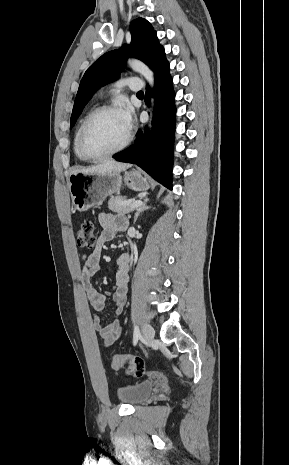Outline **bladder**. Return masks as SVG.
Here are the masks:
<instances>
[{
	"label": "bladder",
	"mask_w": 289,
	"mask_h": 465,
	"mask_svg": "<svg viewBox=\"0 0 289 465\" xmlns=\"http://www.w3.org/2000/svg\"><path fill=\"white\" fill-rule=\"evenodd\" d=\"M155 387V382L151 380L140 383L126 385L118 388L117 396L119 400L128 405H138L149 398Z\"/></svg>",
	"instance_id": "31cf9c89"
}]
</instances>
